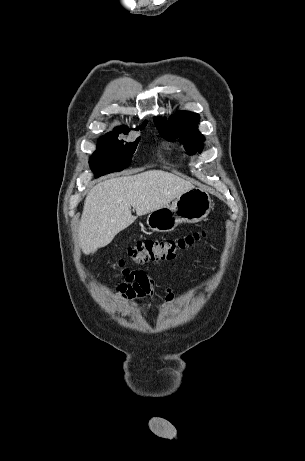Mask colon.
<instances>
[{
	"label": "colon",
	"instance_id": "obj_1",
	"mask_svg": "<svg viewBox=\"0 0 305 461\" xmlns=\"http://www.w3.org/2000/svg\"><path fill=\"white\" fill-rule=\"evenodd\" d=\"M205 237L204 231H195L183 237L172 239H148L140 241L128 250V260L120 259L117 266L122 269L124 276L128 277L132 272L127 266L128 262L137 265L157 263L161 260L175 258L176 254Z\"/></svg>",
	"mask_w": 305,
	"mask_h": 461
}]
</instances>
